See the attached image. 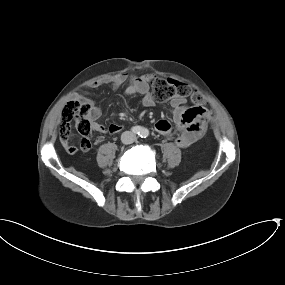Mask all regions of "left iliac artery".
<instances>
[{
  "instance_id": "44dca946",
  "label": "left iliac artery",
  "mask_w": 285,
  "mask_h": 285,
  "mask_svg": "<svg viewBox=\"0 0 285 285\" xmlns=\"http://www.w3.org/2000/svg\"><path fill=\"white\" fill-rule=\"evenodd\" d=\"M148 134H149L148 130L143 129L140 135H141L142 138H146L148 136Z\"/></svg>"
}]
</instances>
